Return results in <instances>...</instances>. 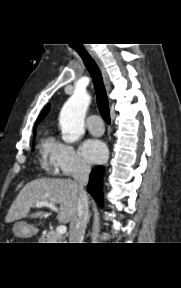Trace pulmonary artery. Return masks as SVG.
Masks as SVG:
<instances>
[{
	"instance_id": "pulmonary-artery-1",
	"label": "pulmonary artery",
	"mask_w": 181,
	"mask_h": 288,
	"mask_svg": "<svg viewBox=\"0 0 181 288\" xmlns=\"http://www.w3.org/2000/svg\"><path fill=\"white\" fill-rule=\"evenodd\" d=\"M88 130L94 135H101L104 131L102 119L96 114H92L87 121Z\"/></svg>"
}]
</instances>
